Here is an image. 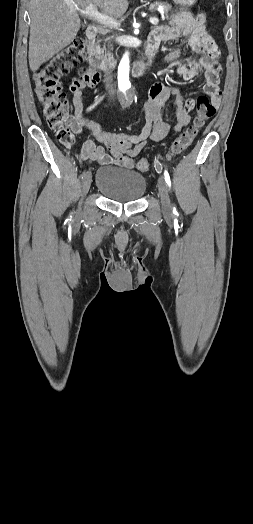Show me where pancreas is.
Wrapping results in <instances>:
<instances>
[{
    "instance_id": "1",
    "label": "pancreas",
    "mask_w": 253,
    "mask_h": 524,
    "mask_svg": "<svg viewBox=\"0 0 253 524\" xmlns=\"http://www.w3.org/2000/svg\"><path fill=\"white\" fill-rule=\"evenodd\" d=\"M159 7L162 8L163 14L168 19L169 18V12L171 11V5L169 3H166V2H154V3H152L150 5L149 10L150 11H155ZM171 17H174V15L172 14ZM96 49L98 50L99 53H102V51L100 49V46H96Z\"/></svg>"
}]
</instances>
